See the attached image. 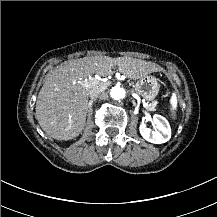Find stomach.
Returning a JSON list of instances; mask_svg holds the SVG:
<instances>
[{"label": "stomach", "instance_id": "1", "mask_svg": "<svg viewBox=\"0 0 217 217\" xmlns=\"http://www.w3.org/2000/svg\"><path fill=\"white\" fill-rule=\"evenodd\" d=\"M159 89V80L151 74L140 78L135 84L136 92L148 100L154 99L157 96Z\"/></svg>", "mask_w": 217, "mask_h": 217}]
</instances>
